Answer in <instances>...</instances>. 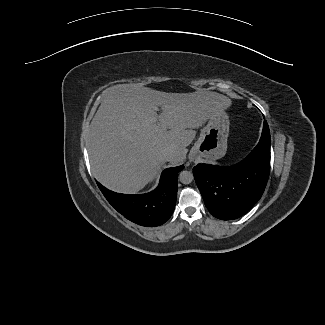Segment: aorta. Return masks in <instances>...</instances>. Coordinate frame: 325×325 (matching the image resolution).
<instances>
[{"mask_svg":"<svg viewBox=\"0 0 325 325\" xmlns=\"http://www.w3.org/2000/svg\"><path fill=\"white\" fill-rule=\"evenodd\" d=\"M193 174L190 171H181L179 174V180L182 184H190L193 181Z\"/></svg>","mask_w":325,"mask_h":325,"instance_id":"1","label":"aorta"}]
</instances>
